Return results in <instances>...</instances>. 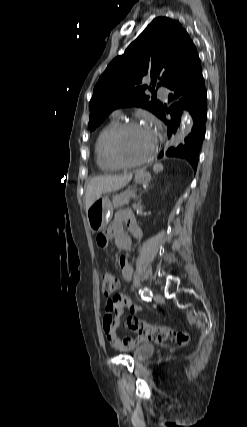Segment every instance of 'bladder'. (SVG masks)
Masks as SVG:
<instances>
[{
  "mask_svg": "<svg viewBox=\"0 0 247 427\" xmlns=\"http://www.w3.org/2000/svg\"><path fill=\"white\" fill-rule=\"evenodd\" d=\"M155 352V347L152 344H141L133 350V356L136 360H145L151 357Z\"/></svg>",
  "mask_w": 247,
  "mask_h": 427,
  "instance_id": "31cf9c89",
  "label": "bladder"
}]
</instances>
